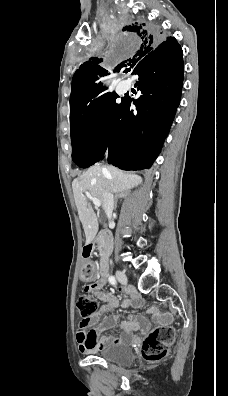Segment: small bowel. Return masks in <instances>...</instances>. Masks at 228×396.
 Segmentation results:
<instances>
[{
  "label": "small bowel",
  "mask_w": 228,
  "mask_h": 396,
  "mask_svg": "<svg viewBox=\"0 0 228 396\" xmlns=\"http://www.w3.org/2000/svg\"><path fill=\"white\" fill-rule=\"evenodd\" d=\"M83 274L85 277H92L94 275V268L90 263H86L83 266ZM106 283L107 276L106 274H102L95 282L85 287V291L94 295L100 302V307L92 317L91 323L98 322L103 313L117 308L120 304L115 294L102 289ZM122 305L125 308H136L141 305V300L137 296H132L130 299L125 300ZM119 317L120 315L118 314H111L107 316L99 326L89 331L79 326L77 331L79 351L81 353H90L110 344L128 341L132 338L133 331L148 328V322L144 318L131 317L120 324L123 333L119 338L109 335L100 337L103 331L112 328L117 323Z\"/></svg>",
  "instance_id": "1"
}]
</instances>
